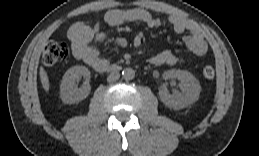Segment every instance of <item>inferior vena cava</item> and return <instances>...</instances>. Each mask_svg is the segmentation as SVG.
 Instances as JSON below:
<instances>
[{"label":"inferior vena cava","instance_id":"inferior-vena-cava-1","mask_svg":"<svg viewBox=\"0 0 259 156\" xmlns=\"http://www.w3.org/2000/svg\"><path fill=\"white\" fill-rule=\"evenodd\" d=\"M120 78V74L118 71H112L108 77H107V81L108 82H115Z\"/></svg>","mask_w":259,"mask_h":156}]
</instances>
